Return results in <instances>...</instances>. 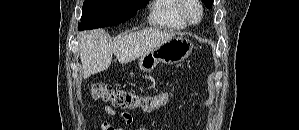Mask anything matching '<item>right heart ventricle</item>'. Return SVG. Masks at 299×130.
<instances>
[{
  "instance_id": "1",
  "label": "right heart ventricle",
  "mask_w": 299,
  "mask_h": 130,
  "mask_svg": "<svg viewBox=\"0 0 299 130\" xmlns=\"http://www.w3.org/2000/svg\"><path fill=\"white\" fill-rule=\"evenodd\" d=\"M183 0H156L153 2L149 21L151 24L181 30L188 27L187 22L181 15Z\"/></svg>"
}]
</instances>
